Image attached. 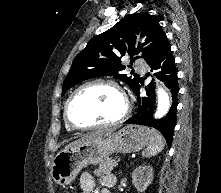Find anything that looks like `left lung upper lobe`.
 <instances>
[{"mask_svg":"<svg viewBox=\"0 0 221 193\" xmlns=\"http://www.w3.org/2000/svg\"><path fill=\"white\" fill-rule=\"evenodd\" d=\"M135 33L146 36V42L136 44ZM166 41L161 26L147 12L134 13L121 19L109 30L93 37L74 58L64 80L62 94L72 86L97 76H114L134 91L139 85V77H128L122 73L126 66L121 64V57L130 55L131 63L138 58L147 61Z\"/></svg>","mask_w":221,"mask_h":193,"instance_id":"1","label":"left lung upper lobe"}]
</instances>
